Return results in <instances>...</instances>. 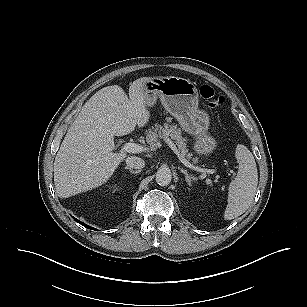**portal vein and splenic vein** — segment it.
<instances>
[{
    "label": "portal vein and splenic vein",
    "instance_id": "18ae733b",
    "mask_svg": "<svg viewBox=\"0 0 307 307\" xmlns=\"http://www.w3.org/2000/svg\"><path fill=\"white\" fill-rule=\"evenodd\" d=\"M164 142L167 143V145L171 148V150H173V152L178 156L179 160L188 168L197 171V172H201L203 174H213L214 171L210 170V169H203L200 168L198 166H195L193 164H191L189 161H187L185 159V157L180 153V151L177 149V147L175 146V144L169 139V138H164L163 139ZM159 145V143H158ZM122 150L124 152H128V153H142L145 152L147 149L144 148L142 145L136 144V143H125L124 146L122 147Z\"/></svg>",
    "mask_w": 307,
    "mask_h": 307
}]
</instances>
